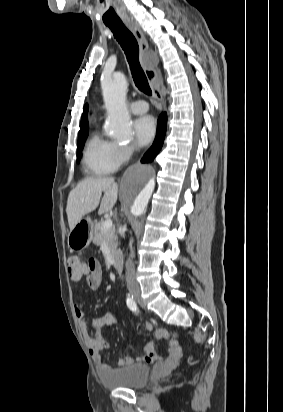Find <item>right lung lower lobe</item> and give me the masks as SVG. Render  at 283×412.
<instances>
[{"instance_id": "right-lung-lower-lobe-1", "label": "right lung lower lobe", "mask_w": 283, "mask_h": 412, "mask_svg": "<svg viewBox=\"0 0 283 412\" xmlns=\"http://www.w3.org/2000/svg\"><path fill=\"white\" fill-rule=\"evenodd\" d=\"M166 127H167V114L162 113L158 119V128H157V133L155 140L153 142V145L150 147V149L144 154L141 162L142 163H148L152 162L156 155L159 153L166 134Z\"/></svg>"}]
</instances>
